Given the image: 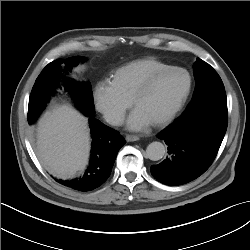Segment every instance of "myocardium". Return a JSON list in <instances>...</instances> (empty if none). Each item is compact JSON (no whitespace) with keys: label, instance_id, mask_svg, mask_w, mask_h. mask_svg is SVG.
<instances>
[{"label":"myocardium","instance_id":"f54148a6","mask_svg":"<svg viewBox=\"0 0 250 250\" xmlns=\"http://www.w3.org/2000/svg\"><path fill=\"white\" fill-rule=\"evenodd\" d=\"M173 71H180L186 74L187 76V87L183 93V95L181 96V98L179 99V101L176 103V105L170 110V112H168L164 117H162L161 119L153 122L152 124L156 127H162L167 125L169 122H171L175 116L181 111V109L184 107L185 103L187 102L189 95L191 93L192 90V84H193V80H192V76L190 74V72L180 66H168L166 68L160 69L156 72H154L153 74H151L142 84L141 86L137 89V91L135 92L133 98H132V102L133 105L136 106L138 100L140 98H142L144 95H146L154 86L155 82L162 77L163 75H165L166 73L169 72H173Z\"/></svg>","mask_w":250,"mask_h":250}]
</instances>
